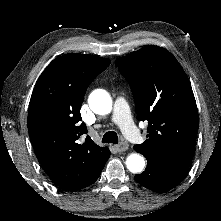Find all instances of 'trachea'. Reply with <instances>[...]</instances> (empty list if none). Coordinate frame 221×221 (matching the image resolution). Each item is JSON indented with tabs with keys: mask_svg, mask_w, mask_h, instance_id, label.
<instances>
[{
	"mask_svg": "<svg viewBox=\"0 0 221 221\" xmlns=\"http://www.w3.org/2000/svg\"><path fill=\"white\" fill-rule=\"evenodd\" d=\"M102 143H113L117 144L118 143V136L117 133L114 131H108L104 134L102 138Z\"/></svg>",
	"mask_w": 221,
	"mask_h": 221,
	"instance_id": "3493384b",
	"label": "trachea"
}]
</instances>
